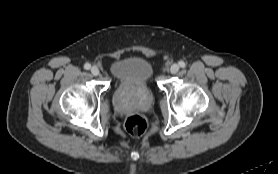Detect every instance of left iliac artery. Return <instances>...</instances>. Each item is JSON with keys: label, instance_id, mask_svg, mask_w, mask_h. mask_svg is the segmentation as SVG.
<instances>
[{"label": "left iliac artery", "instance_id": "obj_1", "mask_svg": "<svg viewBox=\"0 0 278 174\" xmlns=\"http://www.w3.org/2000/svg\"><path fill=\"white\" fill-rule=\"evenodd\" d=\"M178 64H179V66L182 67V68L185 67V62H183V61H179Z\"/></svg>", "mask_w": 278, "mask_h": 174}]
</instances>
